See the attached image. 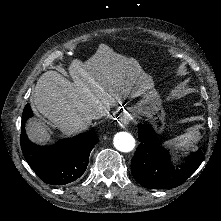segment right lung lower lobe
Here are the masks:
<instances>
[{
	"label": "right lung lower lobe",
	"mask_w": 221,
	"mask_h": 221,
	"mask_svg": "<svg viewBox=\"0 0 221 221\" xmlns=\"http://www.w3.org/2000/svg\"><path fill=\"white\" fill-rule=\"evenodd\" d=\"M32 115L27 104L22 115L21 149L32 170L42 181L52 185H64L81 177L98 137L93 133H82L52 146H39L25 134V122Z\"/></svg>",
	"instance_id": "1"
}]
</instances>
